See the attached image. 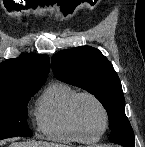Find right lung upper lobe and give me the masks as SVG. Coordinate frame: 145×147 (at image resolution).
Returning a JSON list of instances; mask_svg holds the SVG:
<instances>
[{"label": "right lung upper lobe", "instance_id": "right-lung-upper-lobe-1", "mask_svg": "<svg viewBox=\"0 0 145 147\" xmlns=\"http://www.w3.org/2000/svg\"><path fill=\"white\" fill-rule=\"evenodd\" d=\"M50 60L33 53L0 63V92L22 87L41 86L47 79Z\"/></svg>", "mask_w": 145, "mask_h": 147}]
</instances>
